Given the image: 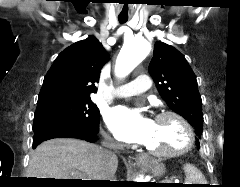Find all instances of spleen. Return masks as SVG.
<instances>
[{
	"label": "spleen",
	"instance_id": "1",
	"mask_svg": "<svg viewBox=\"0 0 240 187\" xmlns=\"http://www.w3.org/2000/svg\"><path fill=\"white\" fill-rule=\"evenodd\" d=\"M183 169L186 175V184H206L205 177L201 171L192 164H185Z\"/></svg>",
	"mask_w": 240,
	"mask_h": 187
}]
</instances>
